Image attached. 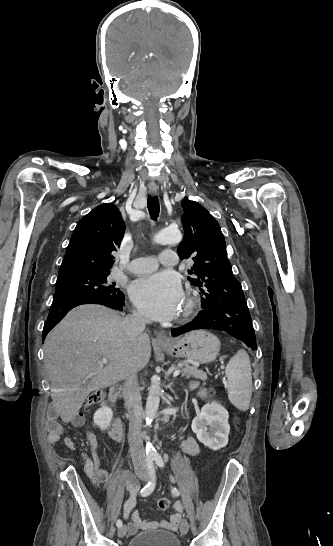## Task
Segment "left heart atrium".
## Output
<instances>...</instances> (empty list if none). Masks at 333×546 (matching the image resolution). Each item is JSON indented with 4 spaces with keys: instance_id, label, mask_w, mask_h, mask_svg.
Wrapping results in <instances>:
<instances>
[{
    "instance_id": "1",
    "label": "left heart atrium",
    "mask_w": 333,
    "mask_h": 546,
    "mask_svg": "<svg viewBox=\"0 0 333 546\" xmlns=\"http://www.w3.org/2000/svg\"><path fill=\"white\" fill-rule=\"evenodd\" d=\"M130 295L146 316L158 321L175 317L184 299L179 278L168 271L136 280L131 285Z\"/></svg>"
}]
</instances>
